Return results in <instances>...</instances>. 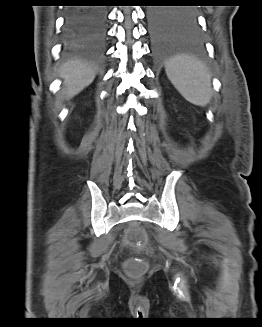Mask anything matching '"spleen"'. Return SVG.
<instances>
[{
	"label": "spleen",
	"mask_w": 262,
	"mask_h": 327,
	"mask_svg": "<svg viewBox=\"0 0 262 327\" xmlns=\"http://www.w3.org/2000/svg\"><path fill=\"white\" fill-rule=\"evenodd\" d=\"M165 71L171 83L187 101L198 106L210 102L211 77L202 62L189 56H176L167 62Z\"/></svg>",
	"instance_id": "1"
}]
</instances>
